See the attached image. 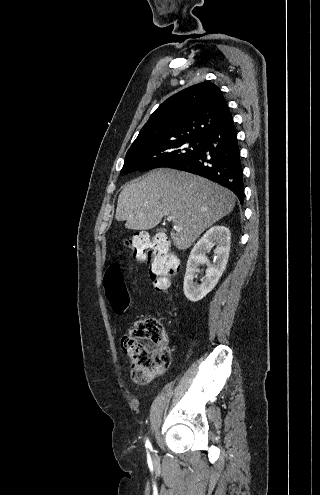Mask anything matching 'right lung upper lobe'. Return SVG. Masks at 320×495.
Segmentation results:
<instances>
[{"mask_svg":"<svg viewBox=\"0 0 320 495\" xmlns=\"http://www.w3.org/2000/svg\"><path fill=\"white\" fill-rule=\"evenodd\" d=\"M232 120L223 92L210 81L192 85L165 100L140 130L131 148L185 138H204Z\"/></svg>","mask_w":320,"mask_h":495,"instance_id":"1","label":"right lung upper lobe"}]
</instances>
